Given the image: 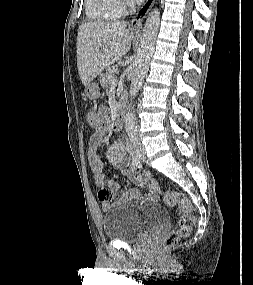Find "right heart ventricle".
I'll return each instance as SVG.
<instances>
[{
    "mask_svg": "<svg viewBox=\"0 0 253 285\" xmlns=\"http://www.w3.org/2000/svg\"><path fill=\"white\" fill-rule=\"evenodd\" d=\"M85 11L91 21H107L124 13L122 0H85Z\"/></svg>",
    "mask_w": 253,
    "mask_h": 285,
    "instance_id": "right-heart-ventricle-1",
    "label": "right heart ventricle"
}]
</instances>
